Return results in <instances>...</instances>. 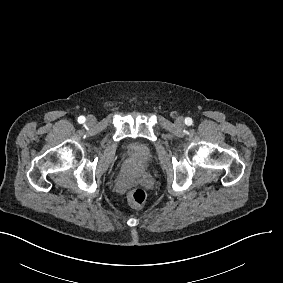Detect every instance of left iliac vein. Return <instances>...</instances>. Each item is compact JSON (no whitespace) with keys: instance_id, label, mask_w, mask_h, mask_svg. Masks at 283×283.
Masks as SVG:
<instances>
[{"instance_id":"left-iliac-vein-1","label":"left iliac vein","mask_w":283,"mask_h":283,"mask_svg":"<svg viewBox=\"0 0 283 283\" xmlns=\"http://www.w3.org/2000/svg\"><path fill=\"white\" fill-rule=\"evenodd\" d=\"M175 124H176L177 126H179V127L183 126V124H184V119H183V117H178V118L176 119V121H175Z\"/></svg>"}]
</instances>
